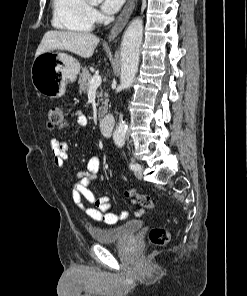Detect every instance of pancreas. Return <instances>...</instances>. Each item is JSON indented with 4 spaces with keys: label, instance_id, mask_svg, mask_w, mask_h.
Returning a JSON list of instances; mask_svg holds the SVG:
<instances>
[{
    "label": "pancreas",
    "instance_id": "1",
    "mask_svg": "<svg viewBox=\"0 0 247 296\" xmlns=\"http://www.w3.org/2000/svg\"><path fill=\"white\" fill-rule=\"evenodd\" d=\"M92 76L89 73L87 68L82 69V73L80 74L78 83H79V88H80V93L87 94L90 88V80ZM104 97H107V93L103 94V91L101 90L100 92L97 91V98L98 100L102 103V106L99 107V118H101L106 112L108 108V99H103Z\"/></svg>",
    "mask_w": 247,
    "mask_h": 296
}]
</instances>
